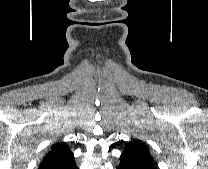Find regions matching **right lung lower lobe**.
<instances>
[{"instance_id": "98d812e1", "label": "right lung lower lobe", "mask_w": 208, "mask_h": 169, "mask_svg": "<svg viewBox=\"0 0 208 169\" xmlns=\"http://www.w3.org/2000/svg\"><path fill=\"white\" fill-rule=\"evenodd\" d=\"M53 169H78L75 164L74 158L70 161H67L59 166L54 167Z\"/></svg>"}]
</instances>
